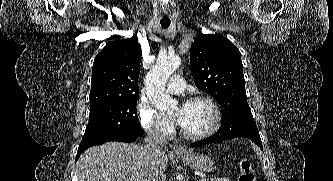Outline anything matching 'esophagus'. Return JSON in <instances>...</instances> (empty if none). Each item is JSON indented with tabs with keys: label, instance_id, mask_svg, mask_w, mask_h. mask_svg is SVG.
<instances>
[{
	"label": "esophagus",
	"instance_id": "34e87169",
	"mask_svg": "<svg viewBox=\"0 0 333 181\" xmlns=\"http://www.w3.org/2000/svg\"><path fill=\"white\" fill-rule=\"evenodd\" d=\"M172 150L175 154L177 155H184L187 153L186 149L184 148V146L180 145V144H175L172 147Z\"/></svg>",
	"mask_w": 333,
	"mask_h": 181
}]
</instances>
